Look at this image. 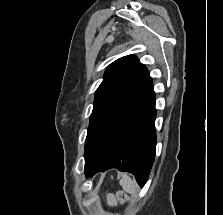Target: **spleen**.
Instances as JSON below:
<instances>
[{
    "instance_id": "1",
    "label": "spleen",
    "mask_w": 223,
    "mask_h": 215,
    "mask_svg": "<svg viewBox=\"0 0 223 215\" xmlns=\"http://www.w3.org/2000/svg\"><path fill=\"white\" fill-rule=\"evenodd\" d=\"M120 185H122L125 191H129V193H134L137 187L135 181L129 175H126V173H123L122 179H120Z\"/></svg>"
}]
</instances>
